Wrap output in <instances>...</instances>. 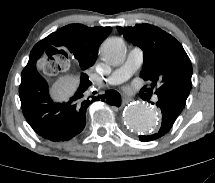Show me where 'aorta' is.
Listing matches in <instances>:
<instances>
[{"label": "aorta", "mask_w": 215, "mask_h": 183, "mask_svg": "<svg viewBox=\"0 0 215 183\" xmlns=\"http://www.w3.org/2000/svg\"><path fill=\"white\" fill-rule=\"evenodd\" d=\"M100 55L105 62L111 65L122 63L126 55L125 43L121 38L112 37L103 42ZM125 125L134 132L149 134L157 130L159 116L157 112L144 103H133L123 112Z\"/></svg>", "instance_id": "aorta-1"}]
</instances>
